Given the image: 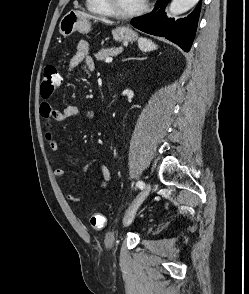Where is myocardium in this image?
I'll return each instance as SVG.
<instances>
[{
  "label": "myocardium",
  "mask_w": 249,
  "mask_h": 294,
  "mask_svg": "<svg viewBox=\"0 0 249 294\" xmlns=\"http://www.w3.org/2000/svg\"><path fill=\"white\" fill-rule=\"evenodd\" d=\"M105 6L110 11L111 15L121 18H130L142 14L148 8V0H144L142 5L135 10L124 11L119 9L114 0H103Z\"/></svg>",
  "instance_id": "obj_1"
}]
</instances>
